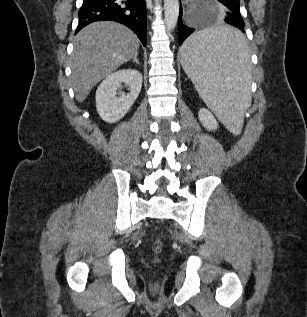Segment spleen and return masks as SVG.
Returning <instances> with one entry per match:
<instances>
[{
  "mask_svg": "<svg viewBox=\"0 0 307 317\" xmlns=\"http://www.w3.org/2000/svg\"><path fill=\"white\" fill-rule=\"evenodd\" d=\"M248 49V37L233 26H204L181 48L183 70L206 105L235 135L252 98Z\"/></svg>",
  "mask_w": 307,
  "mask_h": 317,
  "instance_id": "spleen-1",
  "label": "spleen"
}]
</instances>
